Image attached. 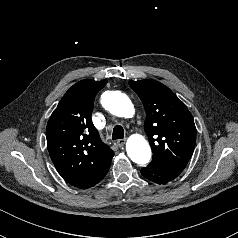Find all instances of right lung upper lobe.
I'll return each instance as SVG.
<instances>
[{
  "instance_id": "cb5924a9",
  "label": "right lung upper lobe",
  "mask_w": 238,
  "mask_h": 238,
  "mask_svg": "<svg viewBox=\"0 0 238 238\" xmlns=\"http://www.w3.org/2000/svg\"><path fill=\"white\" fill-rule=\"evenodd\" d=\"M107 80H81L60 100L46 128L47 147L58 173L81 187L110 167L114 152L91 121L94 98Z\"/></svg>"
}]
</instances>
